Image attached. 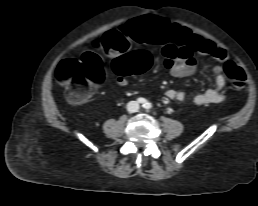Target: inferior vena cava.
<instances>
[{"instance_id":"1","label":"inferior vena cava","mask_w":258,"mask_h":206,"mask_svg":"<svg viewBox=\"0 0 258 206\" xmlns=\"http://www.w3.org/2000/svg\"><path fill=\"white\" fill-rule=\"evenodd\" d=\"M127 109H128V111L131 112V113L138 111V109H139V104H138V102H136V101H130V102L127 104Z\"/></svg>"}]
</instances>
